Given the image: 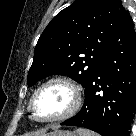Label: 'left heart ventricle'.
Instances as JSON below:
<instances>
[{"label": "left heart ventricle", "mask_w": 136, "mask_h": 136, "mask_svg": "<svg viewBox=\"0 0 136 136\" xmlns=\"http://www.w3.org/2000/svg\"><path fill=\"white\" fill-rule=\"evenodd\" d=\"M71 104L69 90L60 84H53L42 90L35 99L34 113L41 119L56 117L64 113Z\"/></svg>", "instance_id": "1"}]
</instances>
